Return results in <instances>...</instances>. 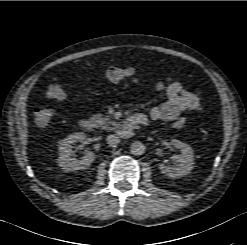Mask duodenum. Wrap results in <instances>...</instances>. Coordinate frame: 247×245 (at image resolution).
<instances>
[{"instance_id":"1","label":"duodenum","mask_w":247,"mask_h":245,"mask_svg":"<svg viewBox=\"0 0 247 245\" xmlns=\"http://www.w3.org/2000/svg\"><path fill=\"white\" fill-rule=\"evenodd\" d=\"M147 120L141 115L133 114L129 116L121 128L118 130V135L121 138H129L133 135L136 125H147ZM149 124V123H148ZM80 127L83 130H91L93 128V122L89 118H82L79 122Z\"/></svg>"}]
</instances>
